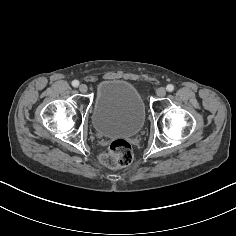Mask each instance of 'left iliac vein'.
<instances>
[{"mask_svg":"<svg viewBox=\"0 0 236 236\" xmlns=\"http://www.w3.org/2000/svg\"><path fill=\"white\" fill-rule=\"evenodd\" d=\"M156 94L158 97H164L166 95V89L164 87H159L156 90Z\"/></svg>","mask_w":236,"mask_h":236,"instance_id":"4c4485c4","label":"left iliac vein"}]
</instances>
